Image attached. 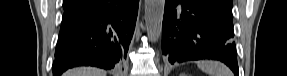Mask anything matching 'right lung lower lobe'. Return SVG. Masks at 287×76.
<instances>
[{"instance_id":"right-lung-lower-lobe-1","label":"right lung lower lobe","mask_w":287,"mask_h":76,"mask_svg":"<svg viewBox=\"0 0 287 76\" xmlns=\"http://www.w3.org/2000/svg\"><path fill=\"white\" fill-rule=\"evenodd\" d=\"M139 0H80L65 10L53 76L68 68L120 66L134 33Z\"/></svg>"}]
</instances>
